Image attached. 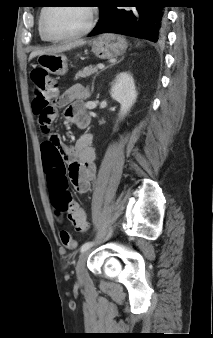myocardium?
Wrapping results in <instances>:
<instances>
[{
	"mask_svg": "<svg viewBox=\"0 0 213 338\" xmlns=\"http://www.w3.org/2000/svg\"><path fill=\"white\" fill-rule=\"evenodd\" d=\"M52 1H54V0H52ZM85 5H86V8H87L88 13H89V20H88V23L86 24V26L77 33L70 34V35H67V36H62V37H51L50 35H48V33L46 31L47 16H48L49 12L51 11V9L54 7V5H52V4L48 5L46 7L45 12L42 15L41 23H40V33H41L42 37L46 41H50V42H64V41L79 39V38L87 35L95 25L97 10L91 4H85Z\"/></svg>",
	"mask_w": 213,
	"mask_h": 338,
	"instance_id": "obj_1",
	"label": "myocardium"
}]
</instances>
